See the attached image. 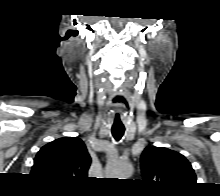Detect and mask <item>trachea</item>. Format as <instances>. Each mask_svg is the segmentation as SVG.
<instances>
[{
    "instance_id": "trachea-1",
    "label": "trachea",
    "mask_w": 220,
    "mask_h": 196,
    "mask_svg": "<svg viewBox=\"0 0 220 196\" xmlns=\"http://www.w3.org/2000/svg\"><path fill=\"white\" fill-rule=\"evenodd\" d=\"M124 131L125 128H116V127H113L111 130L112 135L116 141H119L122 138V136L124 135Z\"/></svg>"
}]
</instances>
